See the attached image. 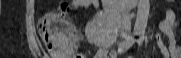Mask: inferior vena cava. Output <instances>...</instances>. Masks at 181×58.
I'll use <instances>...</instances> for the list:
<instances>
[{"label":"inferior vena cava","mask_w":181,"mask_h":58,"mask_svg":"<svg viewBox=\"0 0 181 58\" xmlns=\"http://www.w3.org/2000/svg\"><path fill=\"white\" fill-rule=\"evenodd\" d=\"M131 30V20L128 13L124 14L122 20V31L124 34H127Z\"/></svg>","instance_id":"inferior-vena-cava-1"}]
</instances>
